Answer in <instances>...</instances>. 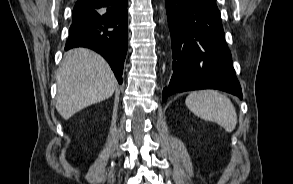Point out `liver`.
Wrapping results in <instances>:
<instances>
[{
  "label": "liver",
  "instance_id": "liver-1",
  "mask_svg": "<svg viewBox=\"0 0 293 184\" xmlns=\"http://www.w3.org/2000/svg\"><path fill=\"white\" fill-rule=\"evenodd\" d=\"M56 82V109L65 120L108 99L117 87L108 63L99 54L85 48H75L65 54Z\"/></svg>",
  "mask_w": 293,
  "mask_h": 184
}]
</instances>
